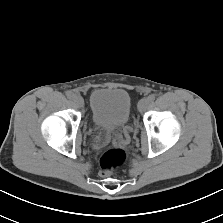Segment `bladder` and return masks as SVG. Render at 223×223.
<instances>
[{"label":"bladder","instance_id":"obj_1","mask_svg":"<svg viewBox=\"0 0 223 223\" xmlns=\"http://www.w3.org/2000/svg\"><path fill=\"white\" fill-rule=\"evenodd\" d=\"M90 109L94 124L104 131L124 127L130 117L132 100L122 88H99L90 95Z\"/></svg>","mask_w":223,"mask_h":223}]
</instances>
